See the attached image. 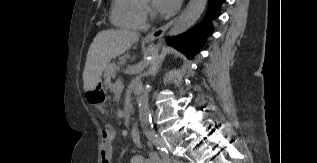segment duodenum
Instances as JSON below:
<instances>
[{
    "instance_id": "410a0bca",
    "label": "duodenum",
    "mask_w": 317,
    "mask_h": 163,
    "mask_svg": "<svg viewBox=\"0 0 317 163\" xmlns=\"http://www.w3.org/2000/svg\"><path fill=\"white\" fill-rule=\"evenodd\" d=\"M131 138L132 141L137 145L141 144L142 142L140 129L136 125H134L131 129Z\"/></svg>"
}]
</instances>
